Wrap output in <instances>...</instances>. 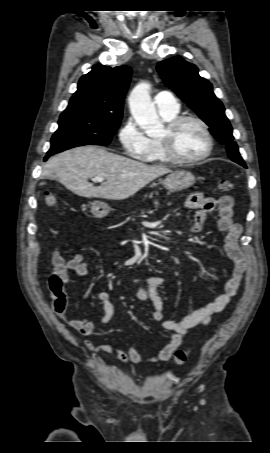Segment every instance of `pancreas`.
<instances>
[{
    "label": "pancreas",
    "instance_id": "cf45deb5",
    "mask_svg": "<svg viewBox=\"0 0 270 453\" xmlns=\"http://www.w3.org/2000/svg\"><path fill=\"white\" fill-rule=\"evenodd\" d=\"M154 205H155L156 207L159 206V202H158V201H155V202H154ZM169 205H170V204H169Z\"/></svg>",
    "mask_w": 270,
    "mask_h": 453
}]
</instances>
